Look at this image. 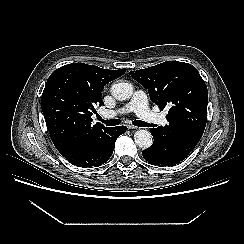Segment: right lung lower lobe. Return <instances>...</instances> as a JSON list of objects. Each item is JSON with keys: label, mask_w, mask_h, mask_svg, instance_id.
Instances as JSON below:
<instances>
[{"label": "right lung lower lobe", "mask_w": 244, "mask_h": 244, "mask_svg": "<svg viewBox=\"0 0 244 244\" xmlns=\"http://www.w3.org/2000/svg\"><path fill=\"white\" fill-rule=\"evenodd\" d=\"M126 126L109 128L95 142L80 145L62 154L70 163L78 167H98L112 155L116 139L126 131Z\"/></svg>", "instance_id": "right-lung-lower-lobe-1"}]
</instances>
